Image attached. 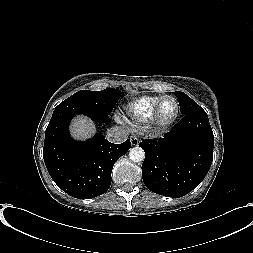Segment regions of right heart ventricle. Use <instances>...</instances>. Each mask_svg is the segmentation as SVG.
Wrapping results in <instances>:
<instances>
[{
    "label": "right heart ventricle",
    "mask_w": 253,
    "mask_h": 253,
    "mask_svg": "<svg viewBox=\"0 0 253 253\" xmlns=\"http://www.w3.org/2000/svg\"><path fill=\"white\" fill-rule=\"evenodd\" d=\"M161 96H143L128 106V123H145L150 120L152 111Z\"/></svg>",
    "instance_id": "e07e8e85"
}]
</instances>
